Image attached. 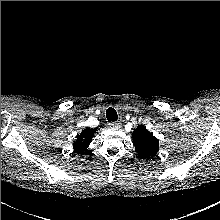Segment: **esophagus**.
Listing matches in <instances>:
<instances>
[{
	"label": "esophagus",
	"instance_id": "1",
	"mask_svg": "<svg viewBox=\"0 0 220 220\" xmlns=\"http://www.w3.org/2000/svg\"><path fill=\"white\" fill-rule=\"evenodd\" d=\"M109 126H110L111 128L118 129V128L121 127V123H120V122H110V123H109Z\"/></svg>",
	"mask_w": 220,
	"mask_h": 220
}]
</instances>
